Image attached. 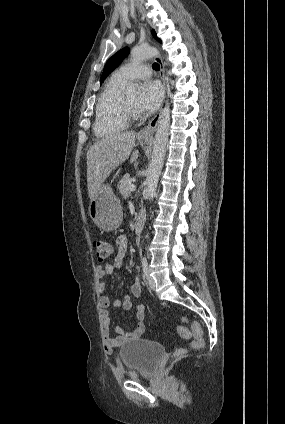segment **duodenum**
Masks as SVG:
<instances>
[{
  "label": "duodenum",
  "mask_w": 285,
  "mask_h": 424,
  "mask_svg": "<svg viewBox=\"0 0 285 424\" xmlns=\"http://www.w3.org/2000/svg\"><path fill=\"white\" fill-rule=\"evenodd\" d=\"M143 224H144V215L140 214L136 220L135 223V234L136 236H140L142 233V229H143Z\"/></svg>",
  "instance_id": "obj_1"
}]
</instances>
